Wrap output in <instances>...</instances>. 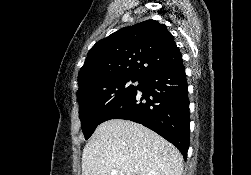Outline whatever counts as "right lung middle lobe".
<instances>
[{"label": "right lung middle lobe", "instance_id": "1", "mask_svg": "<svg viewBox=\"0 0 251 175\" xmlns=\"http://www.w3.org/2000/svg\"><path fill=\"white\" fill-rule=\"evenodd\" d=\"M139 80L137 77L122 76L104 84L79 88L77 101L85 139H88L101 123L103 115L135 89L129 82Z\"/></svg>", "mask_w": 251, "mask_h": 175}]
</instances>
